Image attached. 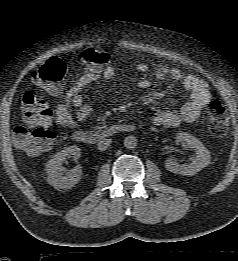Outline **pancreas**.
<instances>
[{"mask_svg": "<svg viewBox=\"0 0 238 261\" xmlns=\"http://www.w3.org/2000/svg\"><path fill=\"white\" fill-rule=\"evenodd\" d=\"M105 127H106V126L101 125V123H100V124H98V125L95 127V129L101 130V129L105 128Z\"/></svg>", "mask_w": 238, "mask_h": 261, "instance_id": "1", "label": "pancreas"}]
</instances>
